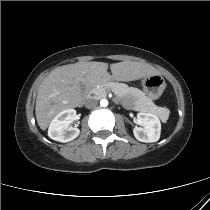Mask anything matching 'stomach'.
Masks as SVG:
<instances>
[{
  "label": "stomach",
  "mask_w": 210,
  "mask_h": 210,
  "mask_svg": "<svg viewBox=\"0 0 210 210\" xmlns=\"http://www.w3.org/2000/svg\"><path fill=\"white\" fill-rule=\"evenodd\" d=\"M141 84L145 94L150 99L159 98L166 87L164 78L159 74L144 77Z\"/></svg>",
  "instance_id": "1"
}]
</instances>
